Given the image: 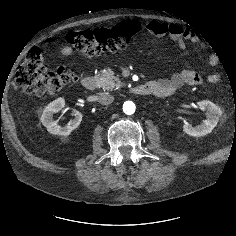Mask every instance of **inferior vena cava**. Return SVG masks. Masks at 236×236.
Masks as SVG:
<instances>
[{
	"mask_svg": "<svg viewBox=\"0 0 236 236\" xmlns=\"http://www.w3.org/2000/svg\"><path fill=\"white\" fill-rule=\"evenodd\" d=\"M114 101V97L108 93L101 94L99 96V102L102 105H109Z\"/></svg>",
	"mask_w": 236,
	"mask_h": 236,
	"instance_id": "1",
	"label": "inferior vena cava"
}]
</instances>
